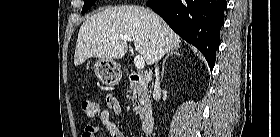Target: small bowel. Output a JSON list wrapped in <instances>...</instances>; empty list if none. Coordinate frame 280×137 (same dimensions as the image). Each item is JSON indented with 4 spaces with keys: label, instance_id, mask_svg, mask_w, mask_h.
<instances>
[{
    "label": "small bowel",
    "instance_id": "small-bowel-1",
    "mask_svg": "<svg viewBox=\"0 0 280 137\" xmlns=\"http://www.w3.org/2000/svg\"><path fill=\"white\" fill-rule=\"evenodd\" d=\"M106 108L100 114L101 127L87 126L83 137H96L99 130H103L107 137H124L115 122L111 120V115L121 117V108L118 99L114 95H107L105 98Z\"/></svg>",
    "mask_w": 280,
    "mask_h": 137
}]
</instances>
